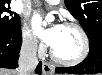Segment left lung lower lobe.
<instances>
[{"label": "left lung lower lobe", "instance_id": "left-lung-lower-lobe-1", "mask_svg": "<svg viewBox=\"0 0 102 75\" xmlns=\"http://www.w3.org/2000/svg\"><path fill=\"white\" fill-rule=\"evenodd\" d=\"M90 52L88 57L73 67H57L56 73L96 74L102 73V34H96L89 39Z\"/></svg>", "mask_w": 102, "mask_h": 75}]
</instances>
